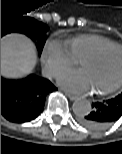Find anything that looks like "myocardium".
Returning a JSON list of instances; mask_svg holds the SVG:
<instances>
[{"mask_svg":"<svg viewBox=\"0 0 122 154\" xmlns=\"http://www.w3.org/2000/svg\"><path fill=\"white\" fill-rule=\"evenodd\" d=\"M113 50H121L122 51V46H120V45H111V46L103 48V49H101V50H99L97 52L86 55V56H84L83 58H81L79 60V65L83 61L97 60V59L101 58L102 56H104L106 53H108L110 51H113ZM120 87H122V76L114 84L108 86L107 88H104V89L99 90V91H94V94H96L98 96L107 95V94H110L112 92H115Z\"/></svg>","mask_w":122,"mask_h":154,"instance_id":"myocardium-1","label":"myocardium"}]
</instances>
